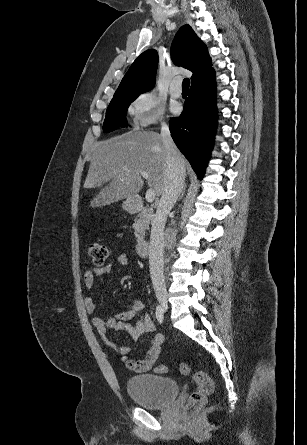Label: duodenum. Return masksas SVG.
I'll use <instances>...</instances> for the list:
<instances>
[{"label":"duodenum","instance_id":"obj_1","mask_svg":"<svg viewBox=\"0 0 307 445\" xmlns=\"http://www.w3.org/2000/svg\"><path fill=\"white\" fill-rule=\"evenodd\" d=\"M143 205V200L140 196H134L129 201V211L137 212ZM150 244L148 241H140L137 244L136 250L140 256H147L149 253Z\"/></svg>","mask_w":307,"mask_h":445}]
</instances>
